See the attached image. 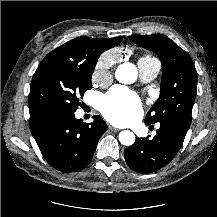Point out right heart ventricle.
Masks as SVG:
<instances>
[{"label":"right heart ventricle","instance_id":"right-heart-ventricle-1","mask_svg":"<svg viewBox=\"0 0 217 217\" xmlns=\"http://www.w3.org/2000/svg\"><path fill=\"white\" fill-rule=\"evenodd\" d=\"M142 60H155L154 58H152L151 56L149 55H146V56H143L139 59V61H142Z\"/></svg>","mask_w":217,"mask_h":217}]
</instances>
